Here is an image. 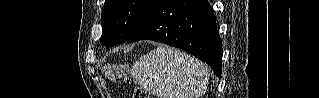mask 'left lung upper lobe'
<instances>
[{
    "instance_id": "1",
    "label": "left lung upper lobe",
    "mask_w": 319,
    "mask_h": 98,
    "mask_svg": "<svg viewBox=\"0 0 319 98\" xmlns=\"http://www.w3.org/2000/svg\"><path fill=\"white\" fill-rule=\"evenodd\" d=\"M158 0H106L102 9V36L105 46L127 41L144 23Z\"/></svg>"
}]
</instances>
